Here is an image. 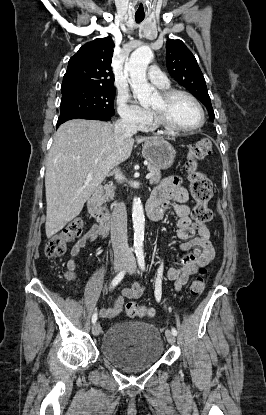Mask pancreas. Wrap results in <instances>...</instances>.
<instances>
[{"label":"pancreas","mask_w":266,"mask_h":415,"mask_svg":"<svg viewBox=\"0 0 266 415\" xmlns=\"http://www.w3.org/2000/svg\"><path fill=\"white\" fill-rule=\"evenodd\" d=\"M147 169L150 173H152V177L150 178L149 182L150 184H157L159 183L161 179V172L159 169L152 165H148ZM114 198V188L112 186L108 187L106 189L105 195L103 196V202H108L109 200H112ZM105 210V208H104Z\"/></svg>","instance_id":"1"}]
</instances>
